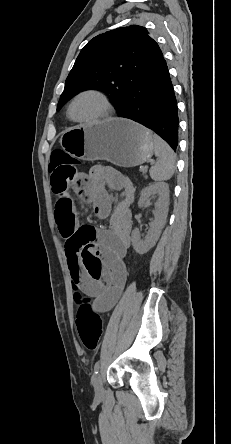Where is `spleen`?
Wrapping results in <instances>:
<instances>
[{
    "label": "spleen",
    "instance_id": "spleen-1",
    "mask_svg": "<svg viewBox=\"0 0 231 444\" xmlns=\"http://www.w3.org/2000/svg\"><path fill=\"white\" fill-rule=\"evenodd\" d=\"M154 152L156 164L150 169V176L155 181L169 180L175 171L176 155L172 148L160 137L154 135Z\"/></svg>",
    "mask_w": 231,
    "mask_h": 444
}]
</instances>
